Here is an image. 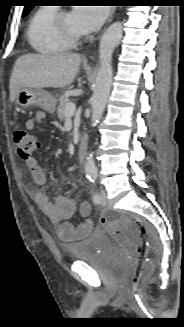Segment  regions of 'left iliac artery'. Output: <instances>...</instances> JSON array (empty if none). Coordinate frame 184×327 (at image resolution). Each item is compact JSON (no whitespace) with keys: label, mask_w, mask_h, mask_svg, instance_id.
I'll list each match as a JSON object with an SVG mask.
<instances>
[{"label":"left iliac artery","mask_w":184,"mask_h":327,"mask_svg":"<svg viewBox=\"0 0 184 327\" xmlns=\"http://www.w3.org/2000/svg\"><path fill=\"white\" fill-rule=\"evenodd\" d=\"M89 181H90L91 183H95V179L90 178ZM93 202H94L95 204H99V203H100V195H99L98 192H95V193H94V195H93Z\"/></svg>","instance_id":"1"}]
</instances>
